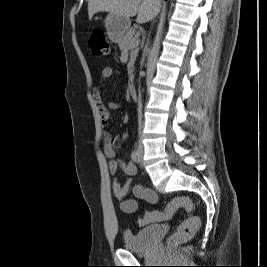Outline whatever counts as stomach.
Returning <instances> with one entry per match:
<instances>
[{
  "label": "stomach",
  "instance_id": "stomach-1",
  "mask_svg": "<svg viewBox=\"0 0 267 267\" xmlns=\"http://www.w3.org/2000/svg\"><path fill=\"white\" fill-rule=\"evenodd\" d=\"M108 38L119 43L130 27V19L109 13L104 20Z\"/></svg>",
  "mask_w": 267,
  "mask_h": 267
}]
</instances>
